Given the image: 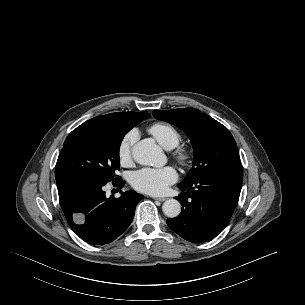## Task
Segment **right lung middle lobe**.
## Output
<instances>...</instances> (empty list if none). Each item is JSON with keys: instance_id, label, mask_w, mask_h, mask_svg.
I'll list each match as a JSON object with an SVG mask.
<instances>
[{"instance_id": "obj_1", "label": "right lung middle lobe", "mask_w": 305, "mask_h": 305, "mask_svg": "<svg viewBox=\"0 0 305 305\" xmlns=\"http://www.w3.org/2000/svg\"><path fill=\"white\" fill-rule=\"evenodd\" d=\"M135 125L90 119L66 138L55 167V178H80L107 184L120 179L119 149L125 134Z\"/></svg>"}]
</instances>
